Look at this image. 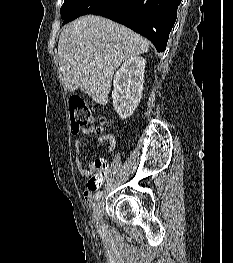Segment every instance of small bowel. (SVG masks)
Masks as SVG:
<instances>
[{
    "label": "small bowel",
    "mask_w": 233,
    "mask_h": 263,
    "mask_svg": "<svg viewBox=\"0 0 233 263\" xmlns=\"http://www.w3.org/2000/svg\"><path fill=\"white\" fill-rule=\"evenodd\" d=\"M97 132V128L94 126L88 127L86 129L82 130V133L85 135H91L95 134ZM98 142L99 143H105L107 145L106 151L110 152L114 149L115 147V137L112 134H100L98 136ZM76 150H77V157H76V167L82 176L83 179H87L90 177L93 173L97 171V166L96 163L98 160L92 161L89 163L87 167L83 166L79 154L80 150L82 148V141L81 140H76L75 142ZM102 183H100L101 185ZM97 189H89L84 192V199L86 203H92L93 198H94V191Z\"/></svg>",
    "instance_id": "c3829d8e"
}]
</instances>
